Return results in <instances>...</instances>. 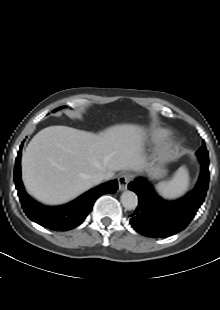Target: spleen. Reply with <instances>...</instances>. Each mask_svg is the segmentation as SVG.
<instances>
[{
	"label": "spleen",
	"instance_id": "obj_1",
	"mask_svg": "<svg viewBox=\"0 0 220 310\" xmlns=\"http://www.w3.org/2000/svg\"><path fill=\"white\" fill-rule=\"evenodd\" d=\"M189 175L184 167L179 168L171 180L160 183L157 191L165 199H176L188 189Z\"/></svg>",
	"mask_w": 220,
	"mask_h": 310
}]
</instances>
